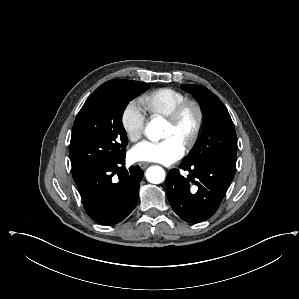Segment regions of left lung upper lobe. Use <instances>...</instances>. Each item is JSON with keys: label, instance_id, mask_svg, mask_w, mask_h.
Wrapping results in <instances>:
<instances>
[{"label": "left lung upper lobe", "instance_id": "obj_1", "mask_svg": "<svg viewBox=\"0 0 299 299\" xmlns=\"http://www.w3.org/2000/svg\"><path fill=\"white\" fill-rule=\"evenodd\" d=\"M181 87L197 100L204 120L201 138L183 162L193 164L217 160L235 167L237 138L225 105L204 86L182 85Z\"/></svg>", "mask_w": 299, "mask_h": 299}]
</instances>
